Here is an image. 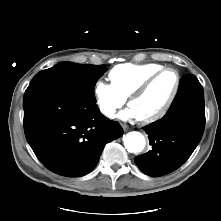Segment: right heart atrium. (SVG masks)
I'll use <instances>...</instances> for the list:
<instances>
[{
  "label": "right heart atrium",
  "instance_id": "right-heart-atrium-1",
  "mask_svg": "<svg viewBox=\"0 0 221 221\" xmlns=\"http://www.w3.org/2000/svg\"><path fill=\"white\" fill-rule=\"evenodd\" d=\"M96 105L101 114L113 119L118 109L125 103V99L116 91L112 84L98 80L93 88Z\"/></svg>",
  "mask_w": 221,
  "mask_h": 221
}]
</instances>
